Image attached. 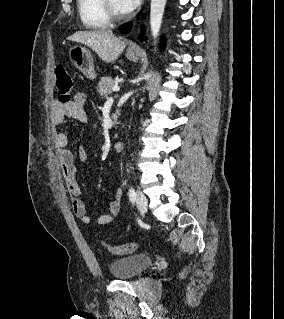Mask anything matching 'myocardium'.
<instances>
[{"mask_svg": "<svg viewBox=\"0 0 284 319\" xmlns=\"http://www.w3.org/2000/svg\"><path fill=\"white\" fill-rule=\"evenodd\" d=\"M103 6L109 19L112 21H123L128 18V14L118 13L111 4V0H103Z\"/></svg>", "mask_w": 284, "mask_h": 319, "instance_id": "obj_1", "label": "myocardium"}]
</instances>
